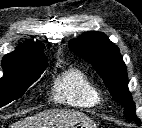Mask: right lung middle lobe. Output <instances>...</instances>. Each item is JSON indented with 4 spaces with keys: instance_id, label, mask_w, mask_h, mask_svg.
Wrapping results in <instances>:
<instances>
[{
    "instance_id": "obj_1",
    "label": "right lung middle lobe",
    "mask_w": 142,
    "mask_h": 128,
    "mask_svg": "<svg viewBox=\"0 0 142 128\" xmlns=\"http://www.w3.org/2000/svg\"><path fill=\"white\" fill-rule=\"evenodd\" d=\"M46 67V61L39 62L14 78L0 79V107L21 98L26 90L39 79Z\"/></svg>"
}]
</instances>
